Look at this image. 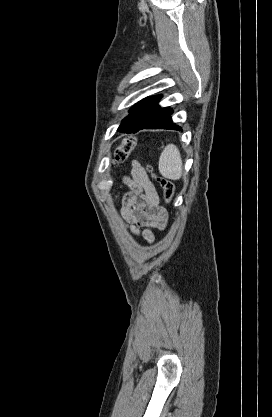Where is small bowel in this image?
Returning a JSON list of instances; mask_svg holds the SVG:
<instances>
[{
	"mask_svg": "<svg viewBox=\"0 0 272 417\" xmlns=\"http://www.w3.org/2000/svg\"><path fill=\"white\" fill-rule=\"evenodd\" d=\"M126 184L130 191L122 200V217L134 236L153 243L154 230H163L166 227L167 212L160 206L154 185L137 161L132 162L131 176L126 179Z\"/></svg>",
	"mask_w": 272,
	"mask_h": 417,
	"instance_id": "c3829d8e",
	"label": "small bowel"
}]
</instances>
